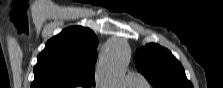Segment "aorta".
Instances as JSON below:
<instances>
[{
  "label": "aorta",
  "mask_w": 223,
  "mask_h": 88,
  "mask_svg": "<svg viewBox=\"0 0 223 88\" xmlns=\"http://www.w3.org/2000/svg\"><path fill=\"white\" fill-rule=\"evenodd\" d=\"M130 56V47L125 41H114L105 57L103 65V79L107 87L119 88L125 76Z\"/></svg>",
  "instance_id": "1"
}]
</instances>
